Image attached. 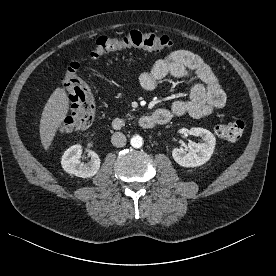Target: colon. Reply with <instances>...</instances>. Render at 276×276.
Listing matches in <instances>:
<instances>
[{"mask_svg": "<svg viewBox=\"0 0 276 276\" xmlns=\"http://www.w3.org/2000/svg\"><path fill=\"white\" fill-rule=\"evenodd\" d=\"M173 45V41L167 36L153 32L131 30L119 37L102 36L97 38L85 58L94 59L102 55L129 49L163 51ZM80 63V60L71 62L65 73L64 84L70 98L71 113L61 123L60 128L66 134L89 127L96 116L94 95L86 81L77 74ZM244 129V121L236 119L217 124L215 132L221 138L237 140L242 136Z\"/></svg>", "mask_w": 276, "mask_h": 276, "instance_id": "5ec220e1", "label": "colon"}]
</instances>
